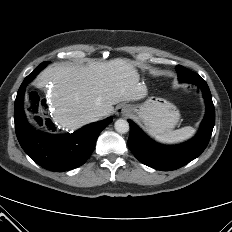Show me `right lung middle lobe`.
<instances>
[{
    "label": "right lung middle lobe",
    "instance_id": "right-lung-middle-lobe-1",
    "mask_svg": "<svg viewBox=\"0 0 232 232\" xmlns=\"http://www.w3.org/2000/svg\"><path fill=\"white\" fill-rule=\"evenodd\" d=\"M47 62H43L42 64H40L38 67H40V69H43L46 66ZM37 67V68H38Z\"/></svg>",
    "mask_w": 232,
    "mask_h": 232
}]
</instances>
